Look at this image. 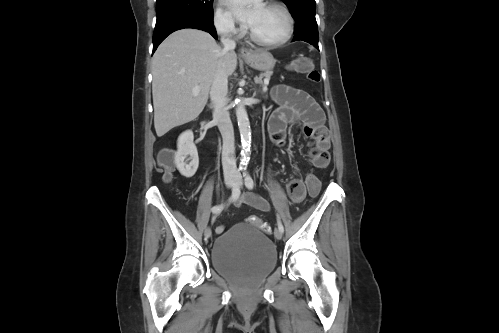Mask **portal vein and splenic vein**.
Wrapping results in <instances>:
<instances>
[{"mask_svg":"<svg viewBox=\"0 0 499 333\" xmlns=\"http://www.w3.org/2000/svg\"><path fill=\"white\" fill-rule=\"evenodd\" d=\"M264 82H265V86H264V88H263V91H266V90H267V86H266V85L269 83V80H266V79H265V80H264ZM199 91H200V86H196V87L192 90V93H193V95H196Z\"/></svg>","mask_w":499,"mask_h":333,"instance_id":"18ae733b","label":"portal vein and splenic vein"}]
</instances>
